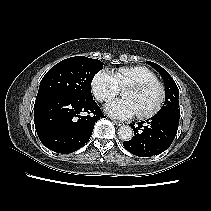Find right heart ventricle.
I'll list each match as a JSON object with an SVG mask.
<instances>
[{"mask_svg": "<svg viewBox=\"0 0 211 211\" xmlns=\"http://www.w3.org/2000/svg\"><path fill=\"white\" fill-rule=\"evenodd\" d=\"M113 75L120 88L136 82L157 80L156 74L151 69L139 65L120 67L114 71Z\"/></svg>", "mask_w": 211, "mask_h": 211, "instance_id": "right-heart-ventricle-1", "label": "right heart ventricle"}]
</instances>
